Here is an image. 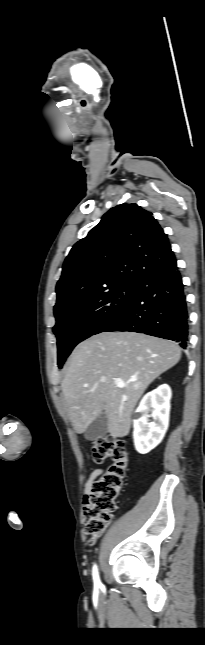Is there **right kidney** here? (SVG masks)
Listing matches in <instances>:
<instances>
[{
	"mask_svg": "<svg viewBox=\"0 0 205 645\" xmlns=\"http://www.w3.org/2000/svg\"><path fill=\"white\" fill-rule=\"evenodd\" d=\"M171 388L162 384L147 393L135 411L133 439L137 452L146 454L164 438L169 426ZM152 417L154 421L149 420Z\"/></svg>",
	"mask_w": 205,
	"mask_h": 645,
	"instance_id": "right-kidney-1",
	"label": "right kidney"
}]
</instances>
